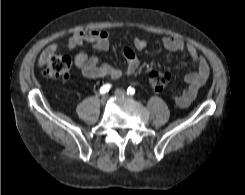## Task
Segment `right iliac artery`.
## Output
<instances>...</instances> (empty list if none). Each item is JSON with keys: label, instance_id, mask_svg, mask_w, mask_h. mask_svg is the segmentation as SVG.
Listing matches in <instances>:
<instances>
[{"label": "right iliac artery", "instance_id": "82829eb1", "mask_svg": "<svg viewBox=\"0 0 245 195\" xmlns=\"http://www.w3.org/2000/svg\"><path fill=\"white\" fill-rule=\"evenodd\" d=\"M111 88L110 84H105L100 88V94H105L109 91V89Z\"/></svg>", "mask_w": 245, "mask_h": 195}]
</instances>
